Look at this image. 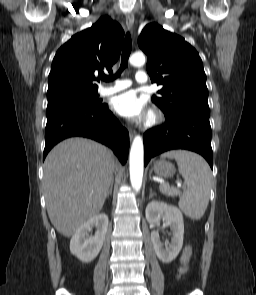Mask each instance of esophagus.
Here are the masks:
<instances>
[{
	"label": "esophagus",
	"mask_w": 256,
	"mask_h": 295,
	"mask_svg": "<svg viewBox=\"0 0 256 295\" xmlns=\"http://www.w3.org/2000/svg\"><path fill=\"white\" fill-rule=\"evenodd\" d=\"M133 24H134V15L133 13L129 12L126 14V26L129 30H131L133 28ZM128 132H129L130 138H133L135 135V131L132 128H128Z\"/></svg>",
	"instance_id": "34e87169"
}]
</instances>
